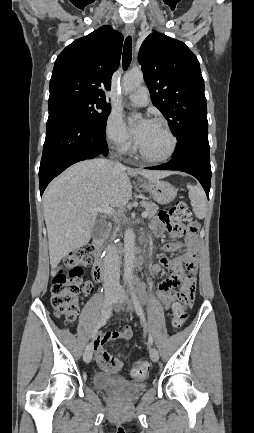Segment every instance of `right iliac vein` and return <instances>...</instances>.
Instances as JSON below:
<instances>
[{
    "mask_svg": "<svg viewBox=\"0 0 254 433\" xmlns=\"http://www.w3.org/2000/svg\"><path fill=\"white\" fill-rule=\"evenodd\" d=\"M115 291H111L105 295L103 303V313H105L112 306L115 298ZM93 347L92 344H88L83 353V359L86 363H89L92 359Z\"/></svg>",
    "mask_w": 254,
    "mask_h": 433,
    "instance_id": "1",
    "label": "right iliac vein"
}]
</instances>
